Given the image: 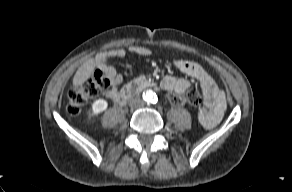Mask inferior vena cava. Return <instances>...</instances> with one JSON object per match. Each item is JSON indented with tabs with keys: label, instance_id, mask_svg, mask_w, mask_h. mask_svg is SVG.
I'll return each mask as SVG.
<instances>
[{
	"label": "inferior vena cava",
	"instance_id": "602c4592",
	"mask_svg": "<svg viewBox=\"0 0 292 192\" xmlns=\"http://www.w3.org/2000/svg\"><path fill=\"white\" fill-rule=\"evenodd\" d=\"M129 105L134 108H140L144 105V101L139 96H135L129 100Z\"/></svg>",
	"mask_w": 292,
	"mask_h": 192
}]
</instances>
